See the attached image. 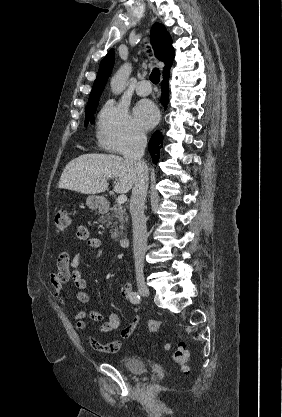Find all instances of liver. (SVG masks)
Listing matches in <instances>:
<instances>
[{
    "mask_svg": "<svg viewBox=\"0 0 282 417\" xmlns=\"http://www.w3.org/2000/svg\"><path fill=\"white\" fill-rule=\"evenodd\" d=\"M108 178H118L115 192H128L134 184L133 170L117 154H80L66 164L58 188H69L83 194H96L107 190Z\"/></svg>",
    "mask_w": 282,
    "mask_h": 417,
    "instance_id": "6515ba94",
    "label": "liver"
}]
</instances>
